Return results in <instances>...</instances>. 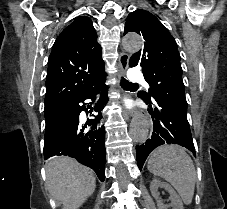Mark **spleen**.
Segmentation results:
<instances>
[{"label": "spleen", "mask_w": 227, "mask_h": 209, "mask_svg": "<svg viewBox=\"0 0 227 209\" xmlns=\"http://www.w3.org/2000/svg\"><path fill=\"white\" fill-rule=\"evenodd\" d=\"M148 171L171 183L185 205H191L196 185L193 161L179 145H162L152 153Z\"/></svg>", "instance_id": "obj_1"}]
</instances>
